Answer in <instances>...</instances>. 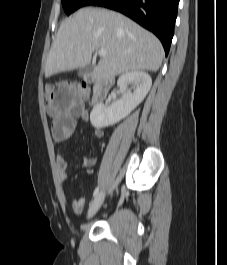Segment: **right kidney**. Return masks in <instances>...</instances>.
Instances as JSON below:
<instances>
[{
    "mask_svg": "<svg viewBox=\"0 0 227 265\" xmlns=\"http://www.w3.org/2000/svg\"><path fill=\"white\" fill-rule=\"evenodd\" d=\"M130 84L136 87L133 93L127 90L122 99L109 106L102 103L94 106L90 113V122L93 127L100 129L112 126L128 116L148 94L152 80L143 71H130L121 75L117 81V85L124 89H127Z\"/></svg>",
    "mask_w": 227,
    "mask_h": 265,
    "instance_id": "obj_1",
    "label": "right kidney"
}]
</instances>
